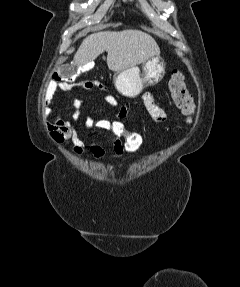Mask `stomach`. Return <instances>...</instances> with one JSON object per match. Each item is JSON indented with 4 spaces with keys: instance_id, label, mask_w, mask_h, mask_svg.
<instances>
[{
    "instance_id": "1",
    "label": "stomach",
    "mask_w": 240,
    "mask_h": 287,
    "mask_svg": "<svg viewBox=\"0 0 240 287\" xmlns=\"http://www.w3.org/2000/svg\"><path fill=\"white\" fill-rule=\"evenodd\" d=\"M165 75V63L157 55L149 58L143 65L142 71L134 66L117 72L114 84L120 94L134 98L148 86L158 84Z\"/></svg>"
}]
</instances>
